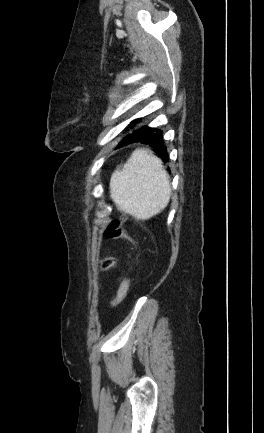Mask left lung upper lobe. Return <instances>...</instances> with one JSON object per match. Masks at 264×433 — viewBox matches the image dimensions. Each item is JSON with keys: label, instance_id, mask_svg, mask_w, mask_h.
Returning a JSON list of instances; mask_svg holds the SVG:
<instances>
[{"label": "left lung upper lobe", "instance_id": "1", "mask_svg": "<svg viewBox=\"0 0 264 433\" xmlns=\"http://www.w3.org/2000/svg\"><path fill=\"white\" fill-rule=\"evenodd\" d=\"M130 135V134H129ZM129 135H127L125 138H123V140L122 141H124V140H126L128 137H129Z\"/></svg>", "mask_w": 264, "mask_h": 433}]
</instances>
